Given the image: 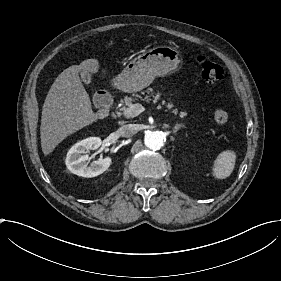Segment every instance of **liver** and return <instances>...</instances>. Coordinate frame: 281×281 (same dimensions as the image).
<instances>
[{"mask_svg":"<svg viewBox=\"0 0 281 281\" xmlns=\"http://www.w3.org/2000/svg\"><path fill=\"white\" fill-rule=\"evenodd\" d=\"M97 59H87L61 72L52 84L42 108L40 138L44 155L50 154L67 136L96 122L98 114L91 109V101L79 72L97 73Z\"/></svg>","mask_w":281,"mask_h":281,"instance_id":"obj_1","label":"liver"}]
</instances>
